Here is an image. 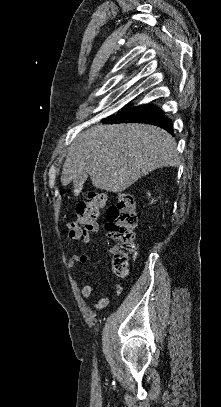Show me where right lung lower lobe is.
<instances>
[{"label": "right lung lower lobe", "instance_id": "right-lung-lower-lobe-1", "mask_svg": "<svg viewBox=\"0 0 221 407\" xmlns=\"http://www.w3.org/2000/svg\"><path fill=\"white\" fill-rule=\"evenodd\" d=\"M109 123H147L159 126L173 134L171 119L165 116L164 112L156 105L126 106L115 116L106 119Z\"/></svg>", "mask_w": 221, "mask_h": 407}]
</instances>
